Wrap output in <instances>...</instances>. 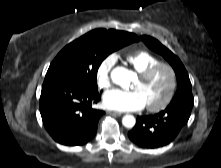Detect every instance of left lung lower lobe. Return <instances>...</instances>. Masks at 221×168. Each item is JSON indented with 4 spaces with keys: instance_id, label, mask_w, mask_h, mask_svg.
I'll return each instance as SVG.
<instances>
[{
    "instance_id": "obj_1",
    "label": "left lung lower lobe",
    "mask_w": 221,
    "mask_h": 168,
    "mask_svg": "<svg viewBox=\"0 0 221 168\" xmlns=\"http://www.w3.org/2000/svg\"><path fill=\"white\" fill-rule=\"evenodd\" d=\"M193 103L179 102L155 114L138 116L128 133L131 141L143 148H159L172 142L187 124Z\"/></svg>"
}]
</instances>
